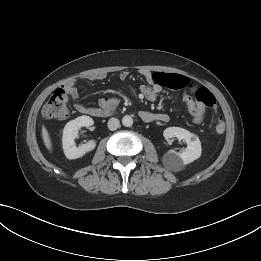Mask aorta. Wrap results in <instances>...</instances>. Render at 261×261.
Listing matches in <instances>:
<instances>
[{
    "instance_id": "1",
    "label": "aorta",
    "mask_w": 261,
    "mask_h": 261,
    "mask_svg": "<svg viewBox=\"0 0 261 261\" xmlns=\"http://www.w3.org/2000/svg\"><path fill=\"white\" fill-rule=\"evenodd\" d=\"M122 124H123L125 127H130V126H132V124H133V119H132V117H131V116H128V115L124 116V117L122 118Z\"/></svg>"
}]
</instances>
